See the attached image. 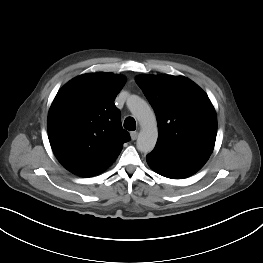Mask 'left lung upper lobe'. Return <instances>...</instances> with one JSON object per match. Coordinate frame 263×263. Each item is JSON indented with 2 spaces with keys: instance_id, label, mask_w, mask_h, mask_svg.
<instances>
[{
  "instance_id": "obj_1",
  "label": "left lung upper lobe",
  "mask_w": 263,
  "mask_h": 263,
  "mask_svg": "<svg viewBox=\"0 0 263 263\" xmlns=\"http://www.w3.org/2000/svg\"><path fill=\"white\" fill-rule=\"evenodd\" d=\"M136 83L152 105L159 128L156 147L210 156L217 134L215 109L206 93L183 76L140 75Z\"/></svg>"
}]
</instances>
